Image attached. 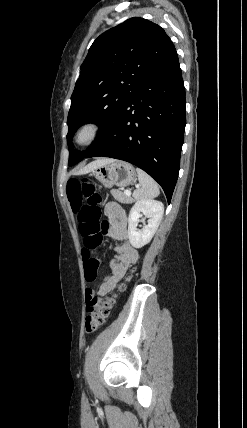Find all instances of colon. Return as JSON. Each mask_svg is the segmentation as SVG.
<instances>
[{
	"label": "colon",
	"mask_w": 247,
	"mask_h": 428,
	"mask_svg": "<svg viewBox=\"0 0 247 428\" xmlns=\"http://www.w3.org/2000/svg\"><path fill=\"white\" fill-rule=\"evenodd\" d=\"M68 199L74 212L77 214L79 229L84 237L83 261L84 274L87 282H94L98 277L100 259L98 248L103 243V234L106 233L107 223L101 222V196L93 185L86 179H72L67 185ZM130 276L126 278V281ZM125 288V283L118 287V292ZM117 293L105 296L100 304L94 298L85 301L88 315L85 319V329L92 333L100 329L110 315L116 301Z\"/></svg>",
	"instance_id": "colon-1"
}]
</instances>
